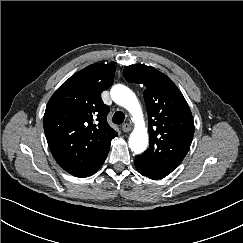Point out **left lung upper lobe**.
Masks as SVG:
<instances>
[{"label": "left lung upper lobe", "mask_w": 243, "mask_h": 243, "mask_svg": "<svg viewBox=\"0 0 243 243\" xmlns=\"http://www.w3.org/2000/svg\"><path fill=\"white\" fill-rule=\"evenodd\" d=\"M123 75L127 81L146 87L143 96L150 144L135 161L168 175L182 162L193 139L194 122L190 108L172 80L151 66H126Z\"/></svg>", "instance_id": "5c2ea615"}]
</instances>
